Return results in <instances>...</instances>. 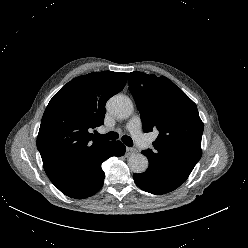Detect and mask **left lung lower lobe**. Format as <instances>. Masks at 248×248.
<instances>
[{"label":"left lung lower lobe","mask_w":248,"mask_h":248,"mask_svg":"<svg viewBox=\"0 0 248 248\" xmlns=\"http://www.w3.org/2000/svg\"><path fill=\"white\" fill-rule=\"evenodd\" d=\"M133 178L139 188L157 195L171 192L181 185L154 165H149L144 173L134 174Z\"/></svg>","instance_id":"0a47b994"}]
</instances>
